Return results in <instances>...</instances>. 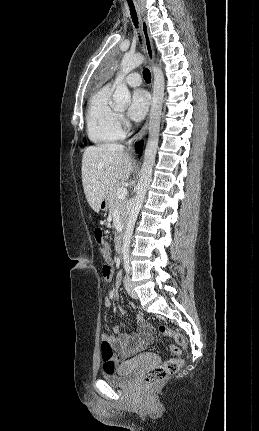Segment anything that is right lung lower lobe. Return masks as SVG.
<instances>
[{
  "instance_id": "1",
  "label": "right lung lower lobe",
  "mask_w": 259,
  "mask_h": 431,
  "mask_svg": "<svg viewBox=\"0 0 259 431\" xmlns=\"http://www.w3.org/2000/svg\"><path fill=\"white\" fill-rule=\"evenodd\" d=\"M142 145H143V142L141 141V142H139L137 145H136V149H137V153L139 154V156L141 155V153H142Z\"/></svg>"
}]
</instances>
